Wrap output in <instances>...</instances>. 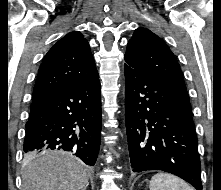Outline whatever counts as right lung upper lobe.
<instances>
[{"mask_svg":"<svg viewBox=\"0 0 221 190\" xmlns=\"http://www.w3.org/2000/svg\"><path fill=\"white\" fill-rule=\"evenodd\" d=\"M97 74L90 46L74 31L60 39L46 54L38 71L32 101Z\"/></svg>","mask_w":221,"mask_h":190,"instance_id":"1","label":"right lung upper lobe"}]
</instances>
